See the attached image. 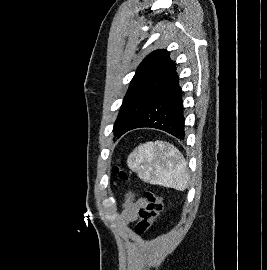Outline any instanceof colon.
Segmentation results:
<instances>
[{"label": "colon", "instance_id": "colon-1", "mask_svg": "<svg viewBox=\"0 0 267 270\" xmlns=\"http://www.w3.org/2000/svg\"><path fill=\"white\" fill-rule=\"evenodd\" d=\"M113 174L122 180L128 178V173L119 166L113 168ZM144 196L146 204L140 210L135 226L136 232L140 235H144L150 230L163 210V199L156 191L147 188L145 189Z\"/></svg>", "mask_w": 267, "mask_h": 270}]
</instances>
